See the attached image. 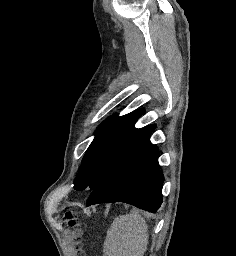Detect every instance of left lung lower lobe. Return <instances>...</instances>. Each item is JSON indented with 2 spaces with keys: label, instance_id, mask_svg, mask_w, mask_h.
<instances>
[{
  "label": "left lung lower lobe",
  "instance_id": "obj_1",
  "mask_svg": "<svg viewBox=\"0 0 236 256\" xmlns=\"http://www.w3.org/2000/svg\"><path fill=\"white\" fill-rule=\"evenodd\" d=\"M155 125L140 129L110 173L95 187L86 205L125 202L156 212L162 202L164 176L158 164L159 150L149 137Z\"/></svg>",
  "mask_w": 236,
  "mask_h": 256
}]
</instances>
